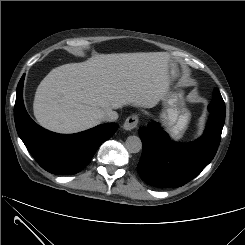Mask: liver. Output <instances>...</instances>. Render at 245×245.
<instances>
[{"label":"liver","mask_w":245,"mask_h":245,"mask_svg":"<svg viewBox=\"0 0 245 245\" xmlns=\"http://www.w3.org/2000/svg\"><path fill=\"white\" fill-rule=\"evenodd\" d=\"M168 84L165 52L94 54L46 75L35 93L34 116L46 129L76 133L100 124L109 110L154 107L164 99Z\"/></svg>","instance_id":"6515ba94"}]
</instances>
